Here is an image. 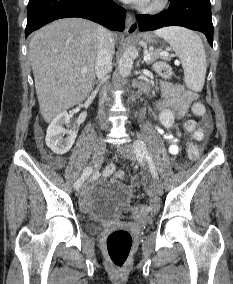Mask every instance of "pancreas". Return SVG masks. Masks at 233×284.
<instances>
[{
    "label": "pancreas",
    "instance_id": "pancreas-1",
    "mask_svg": "<svg viewBox=\"0 0 233 284\" xmlns=\"http://www.w3.org/2000/svg\"><path fill=\"white\" fill-rule=\"evenodd\" d=\"M149 54L151 55V59L147 62L148 65L153 64L159 58H163V56L161 55V51L160 50L150 51ZM158 64H164V63H157V64H155L154 65V69H156V65H158Z\"/></svg>",
    "mask_w": 233,
    "mask_h": 284
}]
</instances>
